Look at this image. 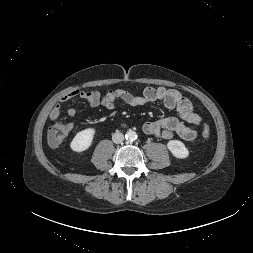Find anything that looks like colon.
<instances>
[{"label": "colon", "instance_id": "5ec220e1", "mask_svg": "<svg viewBox=\"0 0 253 253\" xmlns=\"http://www.w3.org/2000/svg\"><path fill=\"white\" fill-rule=\"evenodd\" d=\"M71 130V125L68 123H57L51 126L48 130L47 140L48 143L56 147L62 143V141L67 137ZM202 136L207 139L210 136V127L208 124H204L202 127Z\"/></svg>", "mask_w": 253, "mask_h": 253}]
</instances>
